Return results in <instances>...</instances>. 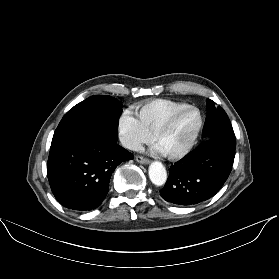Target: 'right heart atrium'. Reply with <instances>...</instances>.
<instances>
[{
    "label": "right heart atrium",
    "instance_id": "right-heart-atrium-1",
    "mask_svg": "<svg viewBox=\"0 0 279 279\" xmlns=\"http://www.w3.org/2000/svg\"><path fill=\"white\" fill-rule=\"evenodd\" d=\"M117 131L120 141L129 150H139L142 145L152 141V135L130 110L123 111L119 116Z\"/></svg>",
    "mask_w": 279,
    "mask_h": 279
}]
</instances>
